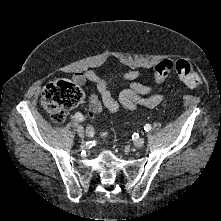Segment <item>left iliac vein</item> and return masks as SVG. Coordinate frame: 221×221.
<instances>
[{"mask_svg": "<svg viewBox=\"0 0 221 221\" xmlns=\"http://www.w3.org/2000/svg\"><path fill=\"white\" fill-rule=\"evenodd\" d=\"M144 145V138H139L134 140L135 147H142Z\"/></svg>", "mask_w": 221, "mask_h": 221, "instance_id": "obj_1", "label": "left iliac vein"}]
</instances>
